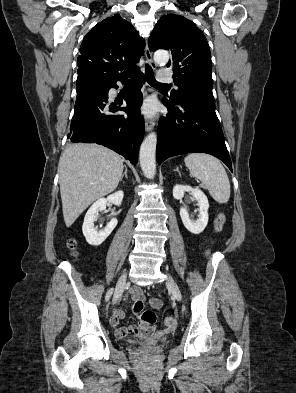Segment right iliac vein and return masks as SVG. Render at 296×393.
Instances as JSON below:
<instances>
[{
  "label": "right iliac vein",
  "mask_w": 296,
  "mask_h": 393,
  "mask_svg": "<svg viewBox=\"0 0 296 393\" xmlns=\"http://www.w3.org/2000/svg\"><path fill=\"white\" fill-rule=\"evenodd\" d=\"M126 279H127V274L124 273L118 280L117 282V286L115 289V293H114V297H113V304H115L117 302V300L119 299V297L121 296L125 285H126Z\"/></svg>",
  "instance_id": "right-iliac-vein-1"
}]
</instances>
